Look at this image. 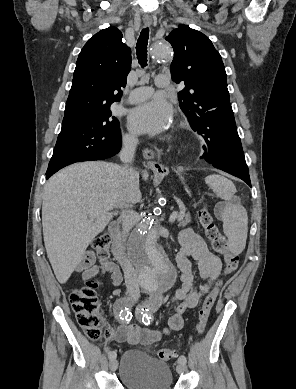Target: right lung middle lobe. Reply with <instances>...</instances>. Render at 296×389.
<instances>
[{
    "instance_id": "obj_1",
    "label": "right lung middle lobe",
    "mask_w": 296,
    "mask_h": 389,
    "mask_svg": "<svg viewBox=\"0 0 296 389\" xmlns=\"http://www.w3.org/2000/svg\"><path fill=\"white\" fill-rule=\"evenodd\" d=\"M121 145L119 121L110 108L63 119L62 129L49 166L65 167L75 162L102 157Z\"/></svg>"
}]
</instances>
